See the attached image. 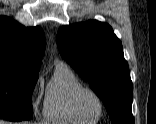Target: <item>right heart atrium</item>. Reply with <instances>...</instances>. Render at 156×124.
<instances>
[{
    "label": "right heart atrium",
    "mask_w": 156,
    "mask_h": 124,
    "mask_svg": "<svg viewBox=\"0 0 156 124\" xmlns=\"http://www.w3.org/2000/svg\"><path fill=\"white\" fill-rule=\"evenodd\" d=\"M39 82H40V79L38 78L30 92V100H31V103L33 104V106H35V103H36V96L38 93Z\"/></svg>",
    "instance_id": "1"
}]
</instances>
